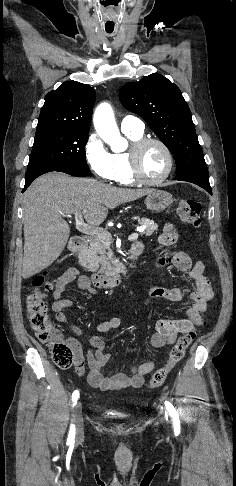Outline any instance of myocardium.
Masks as SVG:
<instances>
[{
	"instance_id": "f54148a6",
	"label": "myocardium",
	"mask_w": 236,
	"mask_h": 486,
	"mask_svg": "<svg viewBox=\"0 0 236 486\" xmlns=\"http://www.w3.org/2000/svg\"><path fill=\"white\" fill-rule=\"evenodd\" d=\"M150 144H157L158 146H160L164 151L167 159L166 171L160 178L153 179V180L148 179L143 175L141 171V164H140L141 153L144 150V148ZM128 159H129L130 172L133 179L137 183L148 185V186H156L166 181L168 177L171 175L174 167V157L170 148L162 140L157 138H142L136 142H133L128 152Z\"/></svg>"
}]
</instances>
